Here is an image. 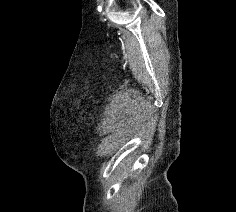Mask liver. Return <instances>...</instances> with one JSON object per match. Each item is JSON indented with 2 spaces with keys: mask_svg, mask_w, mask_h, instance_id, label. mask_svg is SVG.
<instances>
[{
  "mask_svg": "<svg viewBox=\"0 0 236 212\" xmlns=\"http://www.w3.org/2000/svg\"><path fill=\"white\" fill-rule=\"evenodd\" d=\"M121 167H125V163L124 162L121 164Z\"/></svg>",
  "mask_w": 236,
  "mask_h": 212,
  "instance_id": "liver-1",
  "label": "liver"
}]
</instances>
